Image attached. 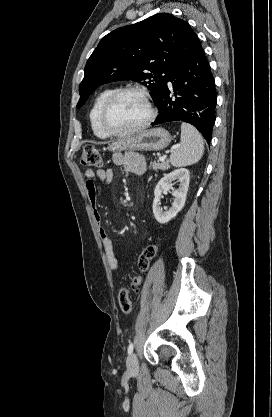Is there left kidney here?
Masks as SVG:
<instances>
[{
    "mask_svg": "<svg viewBox=\"0 0 272 417\" xmlns=\"http://www.w3.org/2000/svg\"><path fill=\"white\" fill-rule=\"evenodd\" d=\"M178 180L179 187L178 189L172 192L174 196V201L172 206L163 211L160 207V198L164 190L171 188L172 182ZM190 181V173L188 169L180 168L176 169L168 174H165L163 178L157 183L154 190V200H153V214L155 219L161 223L165 224L171 219L176 217V215L182 210L185 205L186 196L188 192Z\"/></svg>",
    "mask_w": 272,
    "mask_h": 417,
    "instance_id": "left-kidney-1",
    "label": "left kidney"
}]
</instances>
